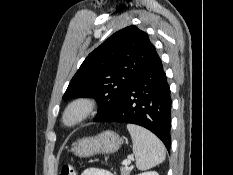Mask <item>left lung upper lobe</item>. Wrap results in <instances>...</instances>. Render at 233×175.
<instances>
[{"label": "left lung upper lobe", "mask_w": 233, "mask_h": 175, "mask_svg": "<svg viewBox=\"0 0 233 175\" xmlns=\"http://www.w3.org/2000/svg\"><path fill=\"white\" fill-rule=\"evenodd\" d=\"M155 51L148 35L136 26L117 31L84 60L63 99L94 97L98 122L117 106Z\"/></svg>", "instance_id": "left-lung-upper-lobe-1"}]
</instances>
